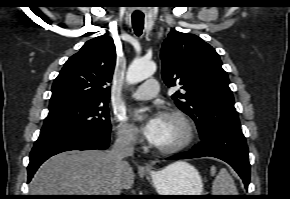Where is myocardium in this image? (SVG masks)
Listing matches in <instances>:
<instances>
[{
    "mask_svg": "<svg viewBox=\"0 0 290 199\" xmlns=\"http://www.w3.org/2000/svg\"><path fill=\"white\" fill-rule=\"evenodd\" d=\"M161 116L174 117L178 119L186 129V137L181 143L169 148L159 147L152 144L153 149L158 153L165 155L178 154L188 149L194 143L197 135L196 127L192 119L185 112L179 109H166L162 111Z\"/></svg>",
    "mask_w": 290,
    "mask_h": 199,
    "instance_id": "f54148a6",
    "label": "myocardium"
}]
</instances>
